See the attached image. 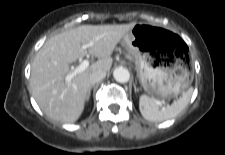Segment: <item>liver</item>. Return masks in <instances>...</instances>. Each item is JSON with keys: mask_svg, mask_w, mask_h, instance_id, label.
I'll use <instances>...</instances> for the list:
<instances>
[{"mask_svg": "<svg viewBox=\"0 0 225 155\" xmlns=\"http://www.w3.org/2000/svg\"><path fill=\"white\" fill-rule=\"evenodd\" d=\"M135 24L82 25L48 39L35 56L30 77L32 95L43 113L63 123L78 120L91 86L90 75L110 70L115 47ZM90 42V47L82 49ZM87 55L98 61L67 82L69 64Z\"/></svg>", "mask_w": 225, "mask_h": 155, "instance_id": "6515ba94", "label": "liver"}]
</instances>
